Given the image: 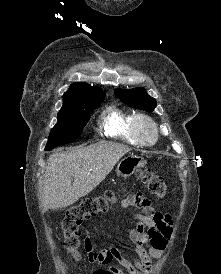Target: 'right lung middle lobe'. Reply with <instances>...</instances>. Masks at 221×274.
<instances>
[{
	"label": "right lung middle lobe",
	"mask_w": 221,
	"mask_h": 274,
	"mask_svg": "<svg viewBox=\"0 0 221 274\" xmlns=\"http://www.w3.org/2000/svg\"><path fill=\"white\" fill-rule=\"evenodd\" d=\"M105 95L84 97L75 102L63 103L58 112V122L49 134L45 150L67 144L77 139L87 124L90 113L104 100Z\"/></svg>",
	"instance_id": "obj_1"
}]
</instances>
